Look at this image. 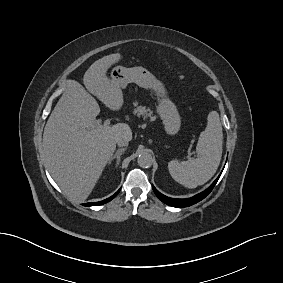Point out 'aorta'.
<instances>
[{
    "label": "aorta",
    "instance_id": "762f6f07",
    "mask_svg": "<svg viewBox=\"0 0 283 283\" xmlns=\"http://www.w3.org/2000/svg\"><path fill=\"white\" fill-rule=\"evenodd\" d=\"M138 165L142 168H148L153 163L152 155L148 152H142L137 159Z\"/></svg>",
    "mask_w": 283,
    "mask_h": 283
}]
</instances>
